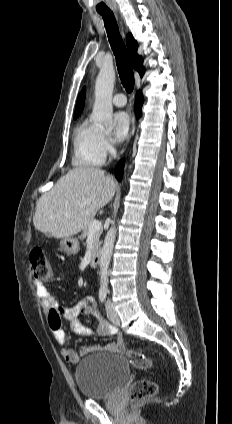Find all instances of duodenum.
<instances>
[{
	"label": "duodenum",
	"mask_w": 232,
	"mask_h": 424,
	"mask_svg": "<svg viewBox=\"0 0 232 424\" xmlns=\"http://www.w3.org/2000/svg\"><path fill=\"white\" fill-rule=\"evenodd\" d=\"M99 262H100V251L96 249L93 251L91 255L89 265L91 268H95L98 266Z\"/></svg>",
	"instance_id": "1"
}]
</instances>
